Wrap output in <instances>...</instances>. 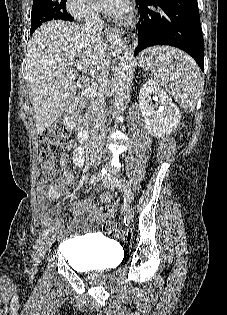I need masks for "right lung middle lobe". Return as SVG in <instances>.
<instances>
[{"instance_id": "dd1d6c3e", "label": "right lung middle lobe", "mask_w": 227, "mask_h": 315, "mask_svg": "<svg viewBox=\"0 0 227 315\" xmlns=\"http://www.w3.org/2000/svg\"><path fill=\"white\" fill-rule=\"evenodd\" d=\"M66 0H34L31 12V29L33 33L43 22L49 20H69L71 17L66 11Z\"/></svg>"}]
</instances>
